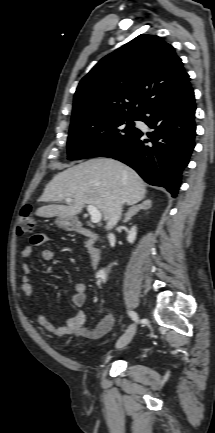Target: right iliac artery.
<instances>
[{
	"label": "right iliac artery",
	"instance_id": "obj_1",
	"mask_svg": "<svg viewBox=\"0 0 215 433\" xmlns=\"http://www.w3.org/2000/svg\"><path fill=\"white\" fill-rule=\"evenodd\" d=\"M128 314L134 321H136V322L138 321L137 313H135L134 311H129Z\"/></svg>",
	"mask_w": 215,
	"mask_h": 433
}]
</instances>
